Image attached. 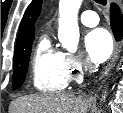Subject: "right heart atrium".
Instances as JSON below:
<instances>
[{
	"instance_id": "right-heart-atrium-1",
	"label": "right heart atrium",
	"mask_w": 123,
	"mask_h": 113,
	"mask_svg": "<svg viewBox=\"0 0 123 113\" xmlns=\"http://www.w3.org/2000/svg\"><path fill=\"white\" fill-rule=\"evenodd\" d=\"M64 63L68 82L79 81L87 68L81 57L71 53H64Z\"/></svg>"
}]
</instances>
